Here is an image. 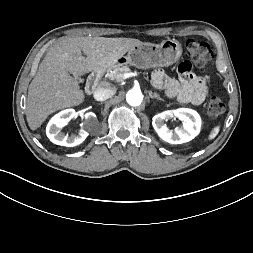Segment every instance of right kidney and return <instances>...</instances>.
Instances as JSON below:
<instances>
[{
    "label": "right kidney",
    "instance_id": "ca27d5eb",
    "mask_svg": "<svg viewBox=\"0 0 253 253\" xmlns=\"http://www.w3.org/2000/svg\"><path fill=\"white\" fill-rule=\"evenodd\" d=\"M75 115V110L66 109L52 117L46 128V134L51 142L57 145L74 147L81 144L86 139L88 136L87 130L96 123V115L93 112L85 114V121L82 123V128L77 135L71 134L68 136L61 132V129L67 125Z\"/></svg>",
    "mask_w": 253,
    "mask_h": 253
}]
</instances>
